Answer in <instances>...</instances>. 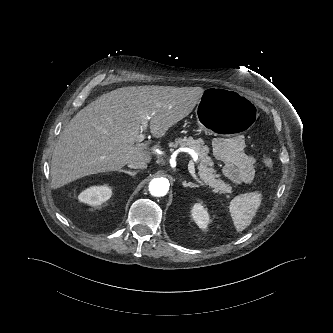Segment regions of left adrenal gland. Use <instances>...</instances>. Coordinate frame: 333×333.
I'll return each mask as SVG.
<instances>
[{
  "instance_id": "1",
  "label": "left adrenal gland",
  "mask_w": 333,
  "mask_h": 333,
  "mask_svg": "<svg viewBox=\"0 0 333 333\" xmlns=\"http://www.w3.org/2000/svg\"><path fill=\"white\" fill-rule=\"evenodd\" d=\"M183 187H191V188H196L199 187L197 184H194L192 182H186L185 180L182 181Z\"/></svg>"
}]
</instances>
